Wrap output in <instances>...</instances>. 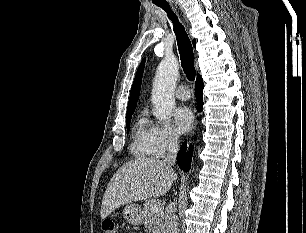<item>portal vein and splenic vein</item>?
I'll list each match as a JSON object with an SVG mask.
<instances>
[{
    "mask_svg": "<svg viewBox=\"0 0 306 233\" xmlns=\"http://www.w3.org/2000/svg\"><path fill=\"white\" fill-rule=\"evenodd\" d=\"M160 210H162V204L160 202H155L152 206H151V212L152 213H157Z\"/></svg>",
    "mask_w": 306,
    "mask_h": 233,
    "instance_id": "18ae733b",
    "label": "portal vein and splenic vein"
}]
</instances>
